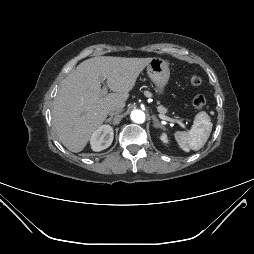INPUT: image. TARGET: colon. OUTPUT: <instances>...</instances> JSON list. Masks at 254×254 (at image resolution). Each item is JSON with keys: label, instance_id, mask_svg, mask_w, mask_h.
<instances>
[{"label": "colon", "instance_id": "obj_1", "mask_svg": "<svg viewBox=\"0 0 254 254\" xmlns=\"http://www.w3.org/2000/svg\"><path fill=\"white\" fill-rule=\"evenodd\" d=\"M189 83H190L191 86L197 87V86H199L202 83V79H201V77L199 75L192 74L189 77ZM192 104H193V107L195 109L200 110V109L205 107L206 100H205V98L203 96L198 95V96H196L193 99Z\"/></svg>", "mask_w": 254, "mask_h": 254}]
</instances>
